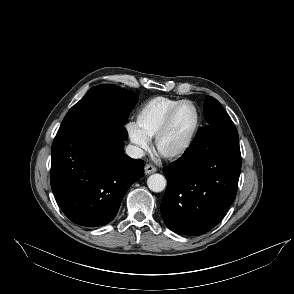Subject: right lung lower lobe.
Returning a JSON list of instances; mask_svg holds the SVG:
<instances>
[{
	"label": "right lung lower lobe",
	"instance_id": "obj_1",
	"mask_svg": "<svg viewBox=\"0 0 294 294\" xmlns=\"http://www.w3.org/2000/svg\"><path fill=\"white\" fill-rule=\"evenodd\" d=\"M88 93L103 105L116 99V93L105 84L92 87ZM127 137V130L119 123L88 126L55 136L51 188L72 222L87 227L108 224L128 188L142 177L143 161L123 153Z\"/></svg>",
	"mask_w": 294,
	"mask_h": 294
}]
</instances>
